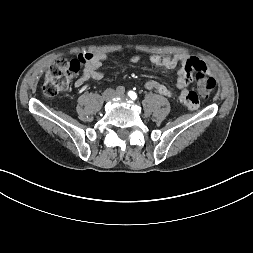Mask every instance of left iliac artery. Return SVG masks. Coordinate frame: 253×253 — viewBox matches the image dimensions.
Listing matches in <instances>:
<instances>
[{
  "mask_svg": "<svg viewBox=\"0 0 253 253\" xmlns=\"http://www.w3.org/2000/svg\"><path fill=\"white\" fill-rule=\"evenodd\" d=\"M128 96L132 99V100H135L137 98V95L135 92L133 91H129L128 92Z\"/></svg>",
  "mask_w": 253,
  "mask_h": 253,
  "instance_id": "1",
  "label": "left iliac artery"
}]
</instances>
